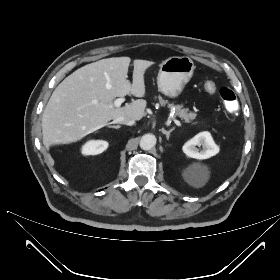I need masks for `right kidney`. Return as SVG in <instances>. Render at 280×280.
<instances>
[{
  "instance_id": "1",
  "label": "right kidney",
  "mask_w": 280,
  "mask_h": 280,
  "mask_svg": "<svg viewBox=\"0 0 280 280\" xmlns=\"http://www.w3.org/2000/svg\"><path fill=\"white\" fill-rule=\"evenodd\" d=\"M108 148V142L103 140H91L82 146V154L97 155Z\"/></svg>"
}]
</instances>
